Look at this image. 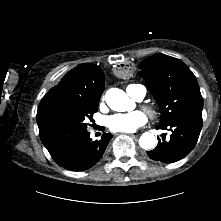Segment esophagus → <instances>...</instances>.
Masks as SVG:
<instances>
[{"mask_svg":"<svg viewBox=\"0 0 221 221\" xmlns=\"http://www.w3.org/2000/svg\"><path fill=\"white\" fill-rule=\"evenodd\" d=\"M114 135H115V136H117V135H122V132L116 133V134H114ZM124 135H129V136H131V137H135V135L131 134V132H124Z\"/></svg>","mask_w":221,"mask_h":221,"instance_id":"34e87169","label":"esophagus"}]
</instances>
